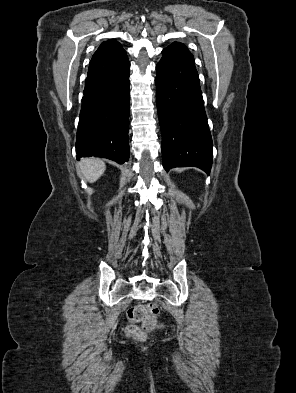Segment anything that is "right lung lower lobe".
<instances>
[{"instance_id": "98d812e1", "label": "right lung lower lobe", "mask_w": 296, "mask_h": 393, "mask_svg": "<svg viewBox=\"0 0 296 393\" xmlns=\"http://www.w3.org/2000/svg\"><path fill=\"white\" fill-rule=\"evenodd\" d=\"M129 70L122 46H107L94 53L82 97L77 159L96 156L119 164L128 161Z\"/></svg>"}]
</instances>
